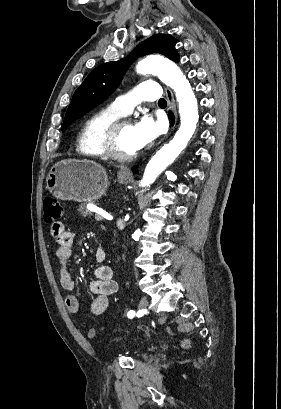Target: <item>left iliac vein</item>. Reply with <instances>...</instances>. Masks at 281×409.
Listing matches in <instances>:
<instances>
[{
  "instance_id": "1",
  "label": "left iliac vein",
  "mask_w": 281,
  "mask_h": 409,
  "mask_svg": "<svg viewBox=\"0 0 281 409\" xmlns=\"http://www.w3.org/2000/svg\"><path fill=\"white\" fill-rule=\"evenodd\" d=\"M148 300L146 298H142L139 302V308L145 310L148 307Z\"/></svg>"
}]
</instances>
